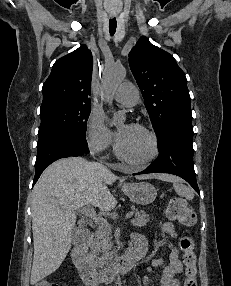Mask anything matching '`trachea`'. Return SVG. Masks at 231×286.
<instances>
[{
	"label": "trachea",
	"mask_w": 231,
	"mask_h": 286,
	"mask_svg": "<svg viewBox=\"0 0 231 286\" xmlns=\"http://www.w3.org/2000/svg\"><path fill=\"white\" fill-rule=\"evenodd\" d=\"M116 27H117L116 18L110 19V21H109V32H110L111 36L114 35V33L116 31Z\"/></svg>",
	"instance_id": "1"
}]
</instances>
